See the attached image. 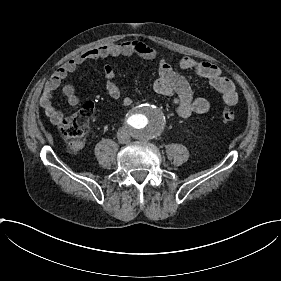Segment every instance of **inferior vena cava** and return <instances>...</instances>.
<instances>
[{
	"instance_id": "1",
	"label": "inferior vena cava",
	"mask_w": 281,
	"mask_h": 281,
	"mask_svg": "<svg viewBox=\"0 0 281 281\" xmlns=\"http://www.w3.org/2000/svg\"><path fill=\"white\" fill-rule=\"evenodd\" d=\"M117 138L119 143L128 144L130 142V135L125 128H120L117 132Z\"/></svg>"
}]
</instances>
